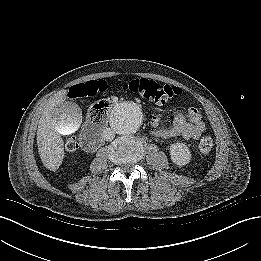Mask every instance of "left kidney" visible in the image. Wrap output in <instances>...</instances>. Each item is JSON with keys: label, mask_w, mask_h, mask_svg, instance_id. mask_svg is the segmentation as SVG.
Returning a JSON list of instances; mask_svg holds the SVG:
<instances>
[{"label": "left kidney", "mask_w": 261, "mask_h": 261, "mask_svg": "<svg viewBox=\"0 0 261 261\" xmlns=\"http://www.w3.org/2000/svg\"><path fill=\"white\" fill-rule=\"evenodd\" d=\"M170 157L174 164L184 166L191 161V152L184 143H174L170 146Z\"/></svg>", "instance_id": "1"}]
</instances>
